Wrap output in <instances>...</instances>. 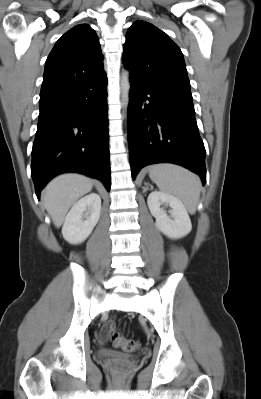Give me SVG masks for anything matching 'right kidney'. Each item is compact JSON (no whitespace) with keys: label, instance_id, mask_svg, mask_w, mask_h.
Wrapping results in <instances>:
<instances>
[{"label":"right kidney","instance_id":"ca27d5eb","mask_svg":"<svg viewBox=\"0 0 261 399\" xmlns=\"http://www.w3.org/2000/svg\"><path fill=\"white\" fill-rule=\"evenodd\" d=\"M101 212V198L90 193L78 200L67 216L62 227V235L70 244L85 241L98 223Z\"/></svg>","mask_w":261,"mask_h":399}]
</instances>
